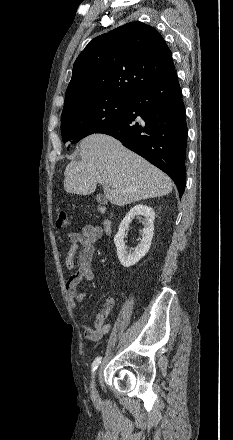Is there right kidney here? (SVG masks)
I'll list each match as a JSON object with an SVG mask.
<instances>
[{"mask_svg":"<svg viewBox=\"0 0 233 440\" xmlns=\"http://www.w3.org/2000/svg\"><path fill=\"white\" fill-rule=\"evenodd\" d=\"M144 217L142 230V239L133 252H128L125 247L124 237L125 230L135 219ZM154 210L144 204L134 206L124 217L119 225V230L114 237V244L117 248L118 259L122 266L130 267L139 262L150 249L151 241L154 234Z\"/></svg>","mask_w":233,"mask_h":440,"instance_id":"obj_1","label":"right kidney"}]
</instances>
